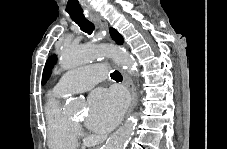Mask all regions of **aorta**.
<instances>
[{"mask_svg": "<svg viewBox=\"0 0 227 149\" xmlns=\"http://www.w3.org/2000/svg\"><path fill=\"white\" fill-rule=\"evenodd\" d=\"M103 57H111L116 63L126 67L131 75H135L137 71L134 60L130 54L123 49L116 47L76 46L72 43L63 45L59 64L61 68L69 70ZM136 122L137 119L134 115L128 118L108 139L105 144V149H125L129 139L134 133Z\"/></svg>", "mask_w": 227, "mask_h": 149, "instance_id": "1", "label": "aorta"}]
</instances>
